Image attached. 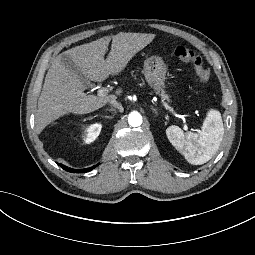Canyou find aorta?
<instances>
[{
  "label": "aorta",
  "instance_id": "aorta-1",
  "mask_svg": "<svg viewBox=\"0 0 255 255\" xmlns=\"http://www.w3.org/2000/svg\"><path fill=\"white\" fill-rule=\"evenodd\" d=\"M128 122L131 126L137 127L142 124V116L138 112H131L128 116Z\"/></svg>",
  "mask_w": 255,
  "mask_h": 255
}]
</instances>
